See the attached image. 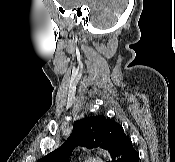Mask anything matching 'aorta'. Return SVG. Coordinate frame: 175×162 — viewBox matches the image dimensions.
<instances>
[{"instance_id": "1", "label": "aorta", "mask_w": 175, "mask_h": 162, "mask_svg": "<svg viewBox=\"0 0 175 162\" xmlns=\"http://www.w3.org/2000/svg\"><path fill=\"white\" fill-rule=\"evenodd\" d=\"M100 153H101L104 157H108V153H106L105 151L100 150Z\"/></svg>"}]
</instances>
